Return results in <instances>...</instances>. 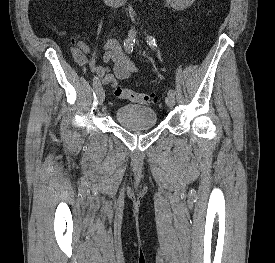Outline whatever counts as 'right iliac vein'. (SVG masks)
<instances>
[{"label": "right iliac vein", "mask_w": 275, "mask_h": 263, "mask_svg": "<svg viewBox=\"0 0 275 263\" xmlns=\"http://www.w3.org/2000/svg\"><path fill=\"white\" fill-rule=\"evenodd\" d=\"M97 97H98V101L99 103H102L105 99V92L103 90L102 87H100L98 90H97Z\"/></svg>", "instance_id": "1"}]
</instances>
